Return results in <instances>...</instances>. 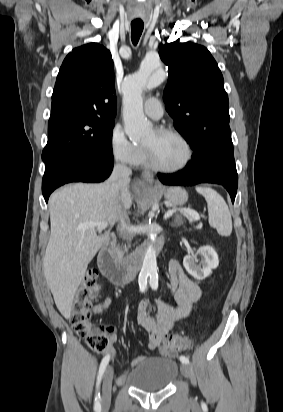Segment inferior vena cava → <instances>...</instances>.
Here are the masks:
<instances>
[{
	"mask_svg": "<svg viewBox=\"0 0 283 412\" xmlns=\"http://www.w3.org/2000/svg\"><path fill=\"white\" fill-rule=\"evenodd\" d=\"M130 175H131L130 168H128L123 163H117L114 166V169L109 178V181L114 184L120 183V182H126L129 180ZM118 211H119V219H118L117 229L119 231V234L125 241L131 242V240L134 237V234L131 229L128 214L126 210L121 206V204L118 205Z\"/></svg>",
	"mask_w": 283,
	"mask_h": 412,
	"instance_id": "inferior-vena-cava-1",
	"label": "inferior vena cava"
}]
</instances>
